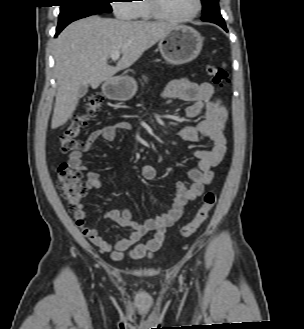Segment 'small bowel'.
Segmentation results:
<instances>
[{
  "instance_id": "obj_1",
  "label": "small bowel",
  "mask_w": 304,
  "mask_h": 329,
  "mask_svg": "<svg viewBox=\"0 0 304 329\" xmlns=\"http://www.w3.org/2000/svg\"><path fill=\"white\" fill-rule=\"evenodd\" d=\"M164 96L167 99L191 102L185 110L188 118H195L203 114L202 121L195 126L181 127L177 131V135L188 142L207 140L211 142V147L206 150L193 151L198 163L189 171L191 185L189 187L183 183L176 185L175 198L167 213L143 223L134 221L129 209L110 210L105 213L106 218L117 222L128 230L129 236L127 238L119 239L114 243L104 239L96 229L85 225V206L82 203L79 204L73 215L82 234L101 252L110 254L115 261L122 260L127 251L129 256L135 260L152 257L162 247L167 228L181 217L185 207L191 201L202 195L204 186L209 184L213 178V168L221 163L227 151L225 125L228 111L221 99L215 95L212 84L179 79L172 81L166 87ZM131 129V123L126 121H115L107 124L94 130L88 136L81 150L69 154V164L80 172H87V189H100L101 175L98 172L87 171V167L83 163L84 153L89 151L97 140L112 141L116 131ZM141 175L145 180H153L157 175V170L153 165H144L141 168ZM150 232L154 233L153 238L145 243H140L142 236Z\"/></svg>"
}]
</instances>
